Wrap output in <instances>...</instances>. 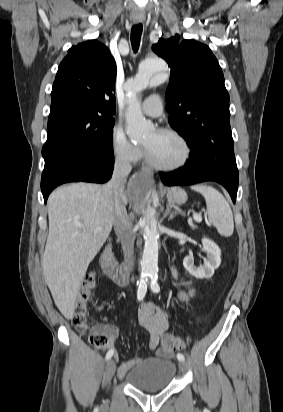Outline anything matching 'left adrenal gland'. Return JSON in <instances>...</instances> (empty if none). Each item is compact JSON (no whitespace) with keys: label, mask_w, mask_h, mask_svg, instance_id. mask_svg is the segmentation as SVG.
Listing matches in <instances>:
<instances>
[{"label":"left adrenal gland","mask_w":283,"mask_h":412,"mask_svg":"<svg viewBox=\"0 0 283 412\" xmlns=\"http://www.w3.org/2000/svg\"><path fill=\"white\" fill-rule=\"evenodd\" d=\"M177 214L178 211L171 212L170 207H167L164 217L168 216V221H171L174 217H176Z\"/></svg>","instance_id":"obj_1"}]
</instances>
